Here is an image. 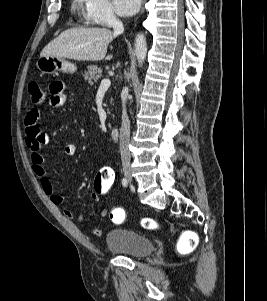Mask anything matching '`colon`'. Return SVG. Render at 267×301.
<instances>
[{
    "instance_id": "obj_1",
    "label": "colon",
    "mask_w": 267,
    "mask_h": 301,
    "mask_svg": "<svg viewBox=\"0 0 267 301\" xmlns=\"http://www.w3.org/2000/svg\"><path fill=\"white\" fill-rule=\"evenodd\" d=\"M29 94L31 102L34 105L41 104L44 100V92L37 83L29 85ZM114 186V172L110 166H102L94 179L92 192L100 199L109 198L112 194ZM109 219L116 224H122L127 218L126 210L122 206L111 205L107 211ZM142 225L147 229H156L157 224L154 220L146 218L142 221ZM197 245L196 236L191 233H185L180 239L178 248L182 253H188L195 249Z\"/></svg>"
}]
</instances>
